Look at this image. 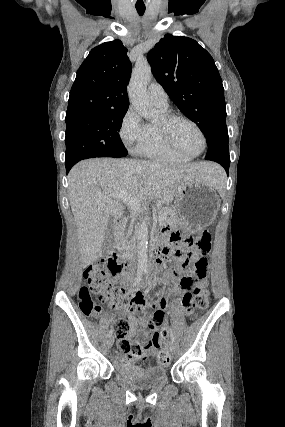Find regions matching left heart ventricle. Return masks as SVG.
Here are the masks:
<instances>
[{"label": "left heart ventricle", "instance_id": "left-heart-ventricle-1", "mask_svg": "<svg viewBox=\"0 0 285 427\" xmlns=\"http://www.w3.org/2000/svg\"><path fill=\"white\" fill-rule=\"evenodd\" d=\"M173 135L179 147L189 154H195L202 148V140L199 133L188 123L177 122L173 127Z\"/></svg>", "mask_w": 285, "mask_h": 427}]
</instances>
